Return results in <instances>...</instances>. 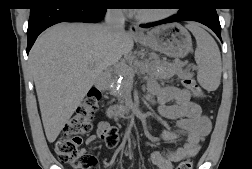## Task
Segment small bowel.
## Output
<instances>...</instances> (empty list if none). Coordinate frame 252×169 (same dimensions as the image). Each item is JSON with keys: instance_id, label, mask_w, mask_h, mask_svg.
<instances>
[{"instance_id": "small-bowel-1", "label": "small bowel", "mask_w": 252, "mask_h": 169, "mask_svg": "<svg viewBox=\"0 0 252 169\" xmlns=\"http://www.w3.org/2000/svg\"><path fill=\"white\" fill-rule=\"evenodd\" d=\"M147 89L148 95L157 100L160 114L177 122L175 130L163 131L160 138L166 142H177L187 137L186 143L174 150L151 153V161L159 169H173L174 163L198 153L200 141L212 130L211 121L201 113L200 106L191 100L188 90L161 87L155 80L149 81ZM109 129L107 122H99L96 133L86 139V145L92 146L98 140L106 142Z\"/></svg>"}]
</instances>
